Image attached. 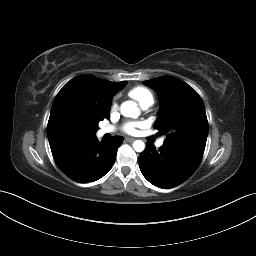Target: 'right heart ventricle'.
<instances>
[{
	"instance_id": "obj_1",
	"label": "right heart ventricle",
	"mask_w": 256,
	"mask_h": 256,
	"mask_svg": "<svg viewBox=\"0 0 256 256\" xmlns=\"http://www.w3.org/2000/svg\"><path fill=\"white\" fill-rule=\"evenodd\" d=\"M128 95L138 104L143 106H151L154 103V94L152 90L145 86H135L128 91Z\"/></svg>"
}]
</instances>
